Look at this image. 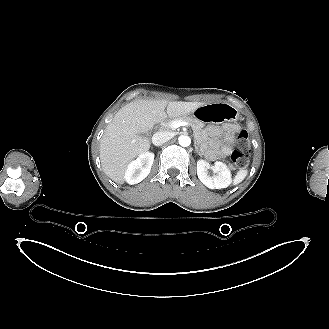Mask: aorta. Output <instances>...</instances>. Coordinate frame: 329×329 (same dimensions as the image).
Returning a JSON list of instances; mask_svg holds the SVG:
<instances>
[{"instance_id": "1", "label": "aorta", "mask_w": 329, "mask_h": 329, "mask_svg": "<svg viewBox=\"0 0 329 329\" xmlns=\"http://www.w3.org/2000/svg\"><path fill=\"white\" fill-rule=\"evenodd\" d=\"M178 141L182 147H188L191 144V138L187 135H181Z\"/></svg>"}]
</instances>
